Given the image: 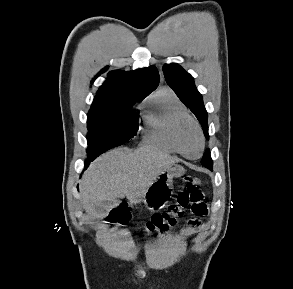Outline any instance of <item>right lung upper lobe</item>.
<instances>
[{"label": "right lung upper lobe", "instance_id": "obj_1", "mask_svg": "<svg viewBox=\"0 0 293 289\" xmlns=\"http://www.w3.org/2000/svg\"><path fill=\"white\" fill-rule=\"evenodd\" d=\"M108 81L98 90L93 105H106L129 99H143L154 91L159 83L155 66L133 72L110 71Z\"/></svg>", "mask_w": 293, "mask_h": 289}]
</instances>
